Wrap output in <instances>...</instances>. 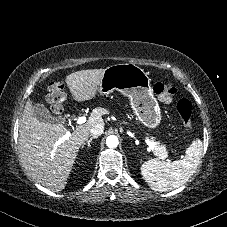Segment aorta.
Wrapping results in <instances>:
<instances>
[{
    "label": "aorta",
    "instance_id": "aorta-1",
    "mask_svg": "<svg viewBox=\"0 0 227 227\" xmlns=\"http://www.w3.org/2000/svg\"><path fill=\"white\" fill-rule=\"evenodd\" d=\"M118 138L115 136V135H110L107 137L106 139V145L109 147V148H115L118 146Z\"/></svg>",
    "mask_w": 227,
    "mask_h": 227
}]
</instances>
